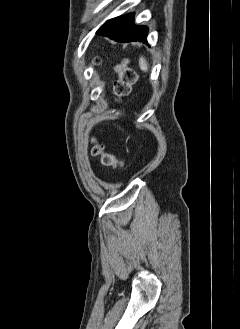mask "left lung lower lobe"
Returning a JSON list of instances; mask_svg holds the SVG:
<instances>
[{"label": "left lung lower lobe", "mask_w": 240, "mask_h": 329, "mask_svg": "<svg viewBox=\"0 0 240 329\" xmlns=\"http://www.w3.org/2000/svg\"><path fill=\"white\" fill-rule=\"evenodd\" d=\"M133 22L134 13L116 17L105 22L97 33L115 41L147 43L148 27L135 26Z\"/></svg>", "instance_id": "0a47b994"}]
</instances>
